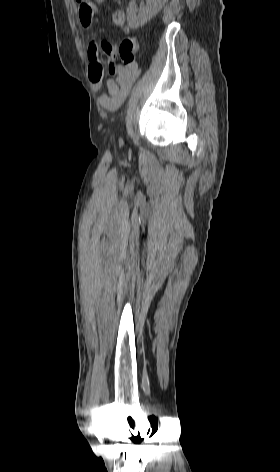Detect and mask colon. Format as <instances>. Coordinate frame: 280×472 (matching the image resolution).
<instances>
[{
	"mask_svg": "<svg viewBox=\"0 0 280 472\" xmlns=\"http://www.w3.org/2000/svg\"><path fill=\"white\" fill-rule=\"evenodd\" d=\"M136 45L132 38H125L119 48L118 54L123 61L124 65H133L135 63ZM109 71L111 74L115 73V65L109 64Z\"/></svg>",
	"mask_w": 280,
	"mask_h": 472,
	"instance_id": "obj_1",
	"label": "colon"
}]
</instances>
